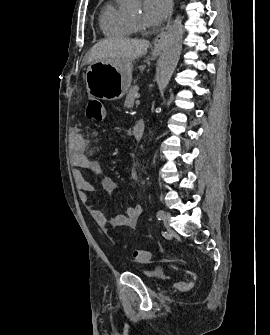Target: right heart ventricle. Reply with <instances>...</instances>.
Returning a JSON list of instances; mask_svg holds the SVG:
<instances>
[{
    "label": "right heart ventricle",
    "instance_id": "e07e8e85",
    "mask_svg": "<svg viewBox=\"0 0 270 335\" xmlns=\"http://www.w3.org/2000/svg\"><path fill=\"white\" fill-rule=\"evenodd\" d=\"M99 25L103 34L108 37L124 38L135 31L134 24L119 14L112 2H107L102 7Z\"/></svg>",
    "mask_w": 270,
    "mask_h": 335
}]
</instances>
